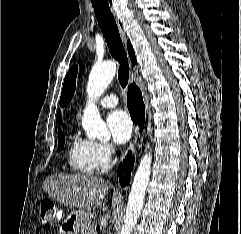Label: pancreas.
<instances>
[{"instance_id": "pancreas-1", "label": "pancreas", "mask_w": 241, "mask_h": 234, "mask_svg": "<svg viewBox=\"0 0 241 234\" xmlns=\"http://www.w3.org/2000/svg\"><path fill=\"white\" fill-rule=\"evenodd\" d=\"M84 234H97L96 231H94V227H89L85 230Z\"/></svg>"}]
</instances>
